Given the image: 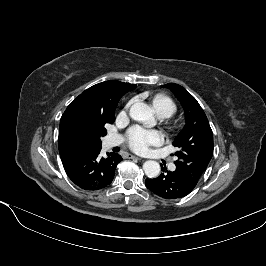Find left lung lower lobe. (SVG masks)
Instances as JSON below:
<instances>
[{
  "mask_svg": "<svg viewBox=\"0 0 266 266\" xmlns=\"http://www.w3.org/2000/svg\"><path fill=\"white\" fill-rule=\"evenodd\" d=\"M164 171V169L162 168ZM146 187L156 195L165 199L182 198L195 188L196 184L189 181L179 170L167 171L155 179H146Z\"/></svg>",
  "mask_w": 266,
  "mask_h": 266,
  "instance_id": "0a47b994",
  "label": "left lung lower lobe"
}]
</instances>
